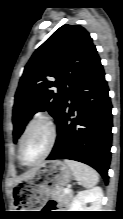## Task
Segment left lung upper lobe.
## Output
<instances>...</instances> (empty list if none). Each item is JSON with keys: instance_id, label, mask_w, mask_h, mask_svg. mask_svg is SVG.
<instances>
[{"instance_id": "5c2ea615", "label": "left lung upper lobe", "mask_w": 123, "mask_h": 219, "mask_svg": "<svg viewBox=\"0 0 123 219\" xmlns=\"http://www.w3.org/2000/svg\"><path fill=\"white\" fill-rule=\"evenodd\" d=\"M98 56L89 33L80 25L57 29L31 56L20 78L13 106V138L38 111L57 121L77 77ZM57 87L58 91L51 90Z\"/></svg>"}]
</instances>
